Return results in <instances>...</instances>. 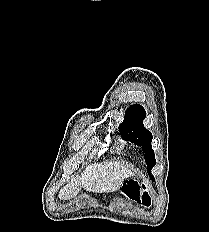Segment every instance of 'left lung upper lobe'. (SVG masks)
<instances>
[{
	"mask_svg": "<svg viewBox=\"0 0 209 232\" xmlns=\"http://www.w3.org/2000/svg\"><path fill=\"white\" fill-rule=\"evenodd\" d=\"M145 110L141 105H132L126 110L125 119L120 124L119 129L121 135L125 140L142 147L145 153V162L147 164V172L152 180L154 177L151 175V169L155 165L154 151L151 147L152 134L143 125L145 118Z\"/></svg>",
	"mask_w": 209,
	"mask_h": 232,
	"instance_id": "1",
	"label": "left lung upper lobe"
}]
</instances>
